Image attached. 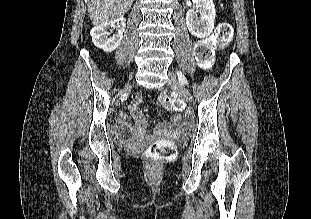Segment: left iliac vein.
<instances>
[{
  "mask_svg": "<svg viewBox=\"0 0 311 219\" xmlns=\"http://www.w3.org/2000/svg\"><path fill=\"white\" fill-rule=\"evenodd\" d=\"M168 85L170 88L175 90L180 94V96L184 99L185 102L191 103L192 102V96L188 89L180 82L176 74L172 71H169V79H168Z\"/></svg>",
  "mask_w": 311,
  "mask_h": 219,
  "instance_id": "obj_1",
  "label": "left iliac vein"
}]
</instances>
